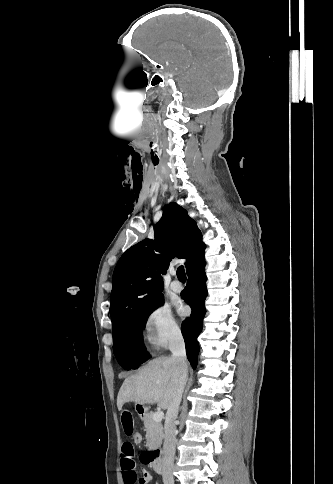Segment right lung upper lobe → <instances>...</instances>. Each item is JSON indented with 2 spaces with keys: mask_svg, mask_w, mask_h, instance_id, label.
<instances>
[{
  "mask_svg": "<svg viewBox=\"0 0 333 484\" xmlns=\"http://www.w3.org/2000/svg\"><path fill=\"white\" fill-rule=\"evenodd\" d=\"M154 233L153 240L129 248L115 267L110 303L113 335L127 317L163 296L161 274L174 257L186 259L187 272L205 259L202 234L177 203L165 207Z\"/></svg>",
  "mask_w": 333,
  "mask_h": 484,
  "instance_id": "obj_1",
  "label": "right lung upper lobe"
}]
</instances>
